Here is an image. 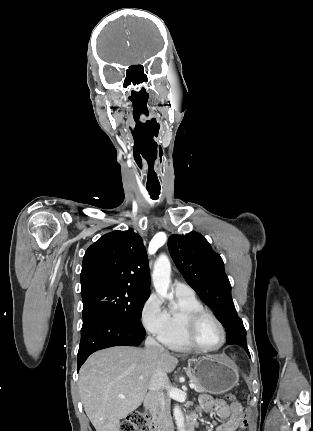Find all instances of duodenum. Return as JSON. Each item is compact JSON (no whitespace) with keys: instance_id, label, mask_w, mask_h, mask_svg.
I'll return each instance as SVG.
<instances>
[{"instance_id":"1","label":"duodenum","mask_w":313,"mask_h":431,"mask_svg":"<svg viewBox=\"0 0 313 431\" xmlns=\"http://www.w3.org/2000/svg\"><path fill=\"white\" fill-rule=\"evenodd\" d=\"M145 408L151 415L150 426L152 431H169L164 417L158 412V399L154 393L147 396L145 400ZM197 418L194 414L188 416L186 421V431H194Z\"/></svg>"}]
</instances>
